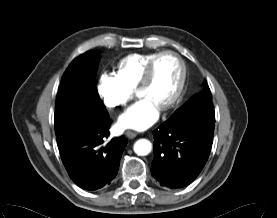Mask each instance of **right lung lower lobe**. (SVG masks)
I'll return each instance as SVG.
<instances>
[{
	"label": "right lung lower lobe",
	"mask_w": 277,
	"mask_h": 218,
	"mask_svg": "<svg viewBox=\"0 0 277 218\" xmlns=\"http://www.w3.org/2000/svg\"><path fill=\"white\" fill-rule=\"evenodd\" d=\"M68 92L73 95L72 91ZM111 123L108 115L59 148L70 178L83 189L97 190L108 186L117 175L127 140L119 137L104 143Z\"/></svg>",
	"instance_id": "obj_1"
}]
</instances>
